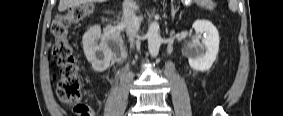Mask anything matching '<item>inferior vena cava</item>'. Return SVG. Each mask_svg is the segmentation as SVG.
Here are the masks:
<instances>
[{
    "label": "inferior vena cava",
    "instance_id": "1",
    "mask_svg": "<svg viewBox=\"0 0 283 116\" xmlns=\"http://www.w3.org/2000/svg\"><path fill=\"white\" fill-rule=\"evenodd\" d=\"M138 6L133 0H126L124 2V16L123 21L126 26L129 41L133 42L139 29V18L136 16Z\"/></svg>",
    "mask_w": 283,
    "mask_h": 116
}]
</instances>
